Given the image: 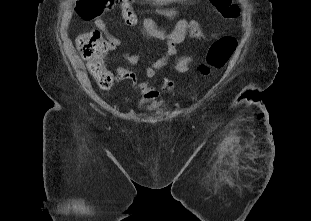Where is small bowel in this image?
Returning <instances> with one entry per match:
<instances>
[{
  "mask_svg": "<svg viewBox=\"0 0 311 221\" xmlns=\"http://www.w3.org/2000/svg\"><path fill=\"white\" fill-rule=\"evenodd\" d=\"M154 12L166 19L176 20L175 28L171 32H167L160 28L155 20L145 14L142 17V29L144 34L151 39L163 41L164 54L162 57L152 60L144 68L141 76L133 70L123 67H116V75L119 80L131 82L134 92L140 96L137 101V107L154 109L158 106L160 97L170 93L175 85L174 79L171 77H164L158 82L153 83L152 80L156 73L165 67L170 60L176 55V46L181 43L187 34L188 21L181 17L179 10L175 8L154 7ZM96 25L104 34L108 51H111L112 46H123V42L112 35L101 19L96 21ZM123 60L129 65H136L141 60L140 53L125 52L122 56ZM192 56L180 57L176 61V70L179 73H185L188 70L189 64L192 62Z\"/></svg>",
  "mask_w": 311,
  "mask_h": 221,
  "instance_id": "obj_1",
  "label": "small bowel"
}]
</instances>
